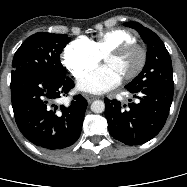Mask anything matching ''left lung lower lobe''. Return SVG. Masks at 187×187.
<instances>
[{
    "label": "left lung lower lobe",
    "mask_w": 187,
    "mask_h": 187,
    "mask_svg": "<svg viewBox=\"0 0 187 187\" xmlns=\"http://www.w3.org/2000/svg\"><path fill=\"white\" fill-rule=\"evenodd\" d=\"M128 91L138 101L122 106L116 99L106 98L105 117L109 133L114 139L126 145H139L154 138L163 128L169 115L174 88L151 86Z\"/></svg>",
    "instance_id": "1"
}]
</instances>
